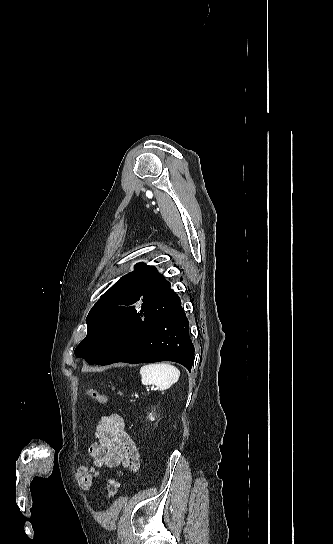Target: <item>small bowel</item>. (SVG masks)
Listing matches in <instances>:
<instances>
[{
    "mask_svg": "<svg viewBox=\"0 0 333 544\" xmlns=\"http://www.w3.org/2000/svg\"><path fill=\"white\" fill-rule=\"evenodd\" d=\"M95 441L88 448V459L76 471L80 486L87 490L99 478L100 469H114L119 466L132 470L139 468L138 449L125 429L118 414L100 417L95 424Z\"/></svg>",
    "mask_w": 333,
    "mask_h": 544,
    "instance_id": "small-bowel-1",
    "label": "small bowel"
}]
</instances>
